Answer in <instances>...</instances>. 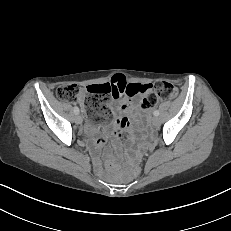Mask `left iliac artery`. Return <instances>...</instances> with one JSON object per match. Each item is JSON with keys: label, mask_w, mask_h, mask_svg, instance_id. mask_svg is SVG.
I'll return each mask as SVG.
<instances>
[{"label": "left iliac artery", "mask_w": 231, "mask_h": 231, "mask_svg": "<svg viewBox=\"0 0 231 231\" xmlns=\"http://www.w3.org/2000/svg\"><path fill=\"white\" fill-rule=\"evenodd\" d=\"M153 114H154V116H158V115H159V111H158V110H155V111L153 112Z\"/></svg>", "instance_id": "left-iliac-artery-1"}]
</instances>
